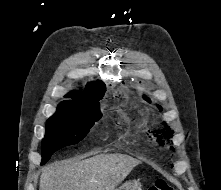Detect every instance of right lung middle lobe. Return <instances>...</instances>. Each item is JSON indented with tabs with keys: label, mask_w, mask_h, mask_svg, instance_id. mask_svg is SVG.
Listing matches in <instances>:
<instances>
[{
	"label": "right lung middle lobe",
	"mask_w": 221,
	"mask_h": 190,
	"mask_svg": "<svg viewBox=\"0 0 221 190\" xmlns=\"http://www.w3.org/2000/svg\"><path fill=\"white\" fill-rule=\"evenodd\" d=\"M100 117L98 100L73 109L57 110L46 122L41 164L46 163L55 151L81 141Z\"/></svg>",
	"instance_id": "obj_1"
}]
</instances>
